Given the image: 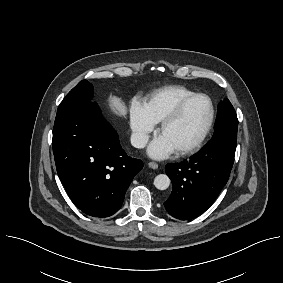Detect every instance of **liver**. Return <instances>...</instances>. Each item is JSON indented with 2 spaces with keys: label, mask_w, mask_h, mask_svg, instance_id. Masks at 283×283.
I'll list each match as a JSON object with an SVG mask.
<instances>
[{
  "label": "liver",
  "mask_w": 283,
  "mask_h": 283,
  "mask_svg": "<svg viewBox=\"0 0 283 283\" xmlns=\"http://www.w3.org/2000/svg\"><path fill=\"white\" fill-rule=\"evenodd\" d=\"M109 105L117 115L125 116L127 114L126 106L120 100V98L116 96H110Z\"/></svg>",
  "instance_id": "1"
}]
</instances>
